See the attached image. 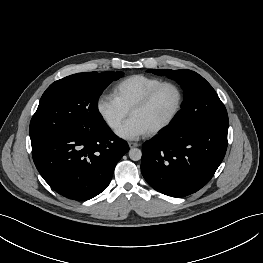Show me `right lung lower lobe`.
Wrapping results in <instances>:
<instances>
[{
	"mask_svg": "<svg viewBox=\"0 0 263 263\" xmlns=\"http://www.w3.org/2000/svg\"><path fill=\"white\" fill-rule=\"evenodd\" d=\"M129 150L106 123L70 130L32 145L36 168L60 195L85 201L110 183L115 166Z\"/></svg>",
	"mask_w": 263,
	"mask_h": 263,
	"instance_id": "right-lung-lower-lobe-1",
	"label": "right lung lower lobe"
}]
</instances>
